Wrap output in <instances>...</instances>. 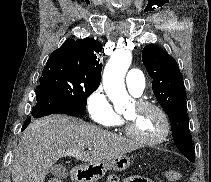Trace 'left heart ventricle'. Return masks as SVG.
<instances>
[{"mask_svg": "<svg viewBox=\"0 0 211 182\" xmlns=\"http://www.w3.org/2000/svg\"><path fill=\"white\" fill-rule=\"evenodd\" d=\"M124 116L129 120L133 132L141 138L153 139L163 130V121L159 113L152 108H140L133 104Z\"/></svg>", "mask_w": 211, "mask_h": 182, "instance_id": "1", "label": "left heart ventricle"}]
</instances>
